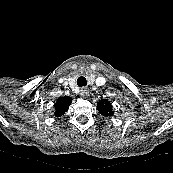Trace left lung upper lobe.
<instances>
[{
	"instance_id": "left-lung-upper-lobe-1",
	"label": "left lung upper lobe",
	"mask_w": 173,
	"mask_h": 173,
	"mask_svg": "<svg viewBox=\"0 0 173 173\" xmlns=\"http://www.w3.org/2000/svg\"><path fill=\"white\" fill-rule=\"evenodd\" d=\"M111 104L108 100H104L102 99L98 105H97V109L100 112V114H102L103 116H112L113 115V111L111 109Z\"/></svg>"
}]
</instances>
